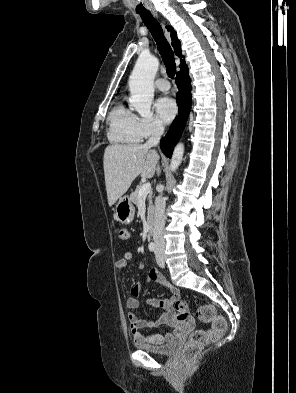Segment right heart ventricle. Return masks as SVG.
Listing matches in <instances>:
<instances>
[{
    "mask_svg": "<svg viewBox=\"0 0 296 393\" xmlns=\"http://www.w3.org/2000/svg\"><path fill=\"white\" fill-rule=\"evenodd\" d=\"M139 118L124 105H118L110 114L108 138L113 143L133 145L142 139Z\"/></svg>",
    "mask_w": 296,
    "mask_h": 393,
    "instance_id": "obj_1",
    "label": "right heart ventricle"
}]
</instances>
